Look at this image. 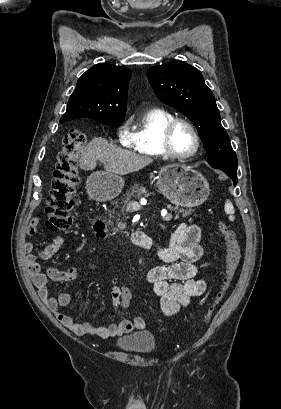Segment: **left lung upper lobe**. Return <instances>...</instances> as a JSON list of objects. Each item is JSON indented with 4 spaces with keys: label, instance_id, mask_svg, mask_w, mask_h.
Here are the masks:
<instances>
[{
    "label": "left lung upper lobe",
    "instance_id": "5c2ea615",
    "mask_svg": "<svg viewBox=\"0 0 281 409\" xmlns=\"http://www.w3.org/2000/svg\"><path fill=\"white\" fill-rule=\"evenodd\" d=\"M157 97L188 117L197 127L208 163L212 167L237 168V158L229 136L221 125L214 95L201 72L180 60L154 66L147 71Z\"/></svg>",
    "mask_w": 281,
    "mask_h": 409
}]
</instances>
